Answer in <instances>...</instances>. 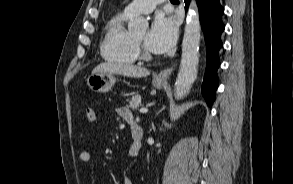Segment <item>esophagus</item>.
Segmentation results:
<instances>
[{
  "label": "esophagus",
  "mask_w": 293,
  "mask_h": 184,
  "mask_svg": "<svg viewBox=\"0 0 293 184\" xmlns=\"http://www.w3.org/2000/svg\"><path fill=\"white\" fill-rule=\"evenodd\" d=\"M172 68L171 67H168V68H165L164 70H162L160 73L157 74V79H160V80H166L172 73Z\"/></svg>",
  "instance_id": "34e87169"
}]
</instances>
